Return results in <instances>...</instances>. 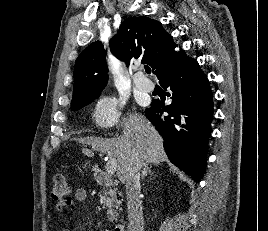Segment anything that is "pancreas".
<instances>
[{
	"label": "pancreas",
	"instance_id": "cf45deb5",
	"mask_svg": "<svg viewBox=\"0 0 268 231\" xmlns=\"http://www.w3.org/2000/svg\"><path fill=\"white\" fill-rule=\"evenodd\" d=\"M100 203L107 209V217L110 222L117 221V210L120 207V200L117 199L115 190L107 189L100 194Z\"/></svg>",
	"mask_w": 268,
	"mask_h": 231
}]
</instances>
